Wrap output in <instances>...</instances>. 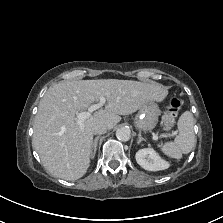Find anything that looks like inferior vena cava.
<instances>
[{"mask_svg":"<svg viewBox=\"0 0 223 223\" xmlns=\"http://www.w3.org/2000/svg\"><path fill=\"white\" fill-rule=\"evenodd\" d=\"M93 134H104L107 132V126L104 124H96L92 127Z\"/></svg>","mask_w":223,"mask_h":223,"instance_id":"1","label":"inferior vena cava"}]
</instances>
